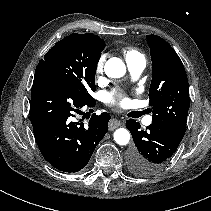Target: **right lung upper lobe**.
<instances>
[{"mask_svg":"<svg viewBox=\"0 0 211 211\" xmlns=\"http://www.w3.org/2000/svg\"><path fill=\"white\" fill-rule=\"evenodd\" d=\"M83 35H85L86 37H89L92 40H94L99 47H101V48H104L105 47L104 40H102L99 36L94 35L92 33H86V34H83Z\"/></svg>","mask_w":211,"mask_h":211,"instance_id":"cb5924a9","label":"right lung upper lobe"}]
</instances>
